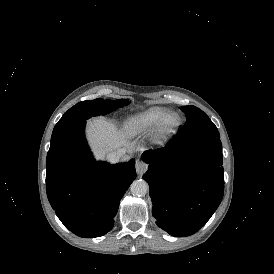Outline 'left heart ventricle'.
Wrapping results in <instances>:
<instances>
[{
    "instance_id": "obj_1",
    "label": "left heart ventricle",
    "mask_w": 274,
    "mask_h": 274,
    "mask_svg": "<svg viewBox=\"0 0 274 274\" xmlns=\"http://www.w3.org/2000/svg\"><path fill=\"white\" fill-rule=\"evenodd\" d=\"M179 121H180V117H179V115H173L170 119H169V121H168V123H167V128L168 129H172V128H174L175 126H177V124L179 123Z\"/></svg>"
}]
</instances>
